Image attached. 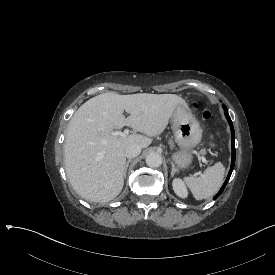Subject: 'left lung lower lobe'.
Listing matches in <instances>:
<instances>
[{"label": "left lung lower lobe", "instance_id": "0a47b994", "mask_svg": "<svg viewBox=\"0 0 275 275\" xmlns=\"http://www.w3.org/2000/svg\"><path fill=\"white\" fill-rule=\"evenodd\" d=\"M223 108H224V110H225V116H226V118H227V120H228V123H229V125H230V127H231L232 160H231L230 171H229V173H228V176H227V178H226V181L224 182V184H223L222 188L220 189V191L214 196V199L218 198L219 195L223 192V190H224V188H225V186H226V184H227V182H228V180H229V178H230V176H231V173H232V171H233L234 164H235V147H234L235 133H234V128H233V124H232V121H231V119H230V116L228 115V111H227L226 106L223 105Z\"/></svg>", "mask_w": 275, "mask_h": 275}]
</instances>
